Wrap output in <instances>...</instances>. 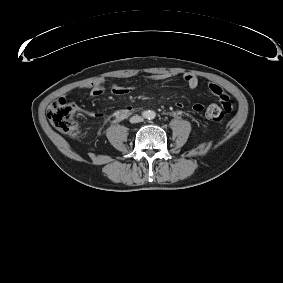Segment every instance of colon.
<instances>
[{
    "instance_id": "obj_1",
    "label": "colon",
    "mask_w": 283,
    "mask_h": 283,
    "mask_svg": "<svg viewBox=\"0 0 283 283\" xmlns=\"http://www.w3.org/2000/svg\"><path fill=\"white\" fill-rule=\"evenodd\" d=\"M232 104L226 100L225 104H212L206 109L207 119L220 121L224 113L231 110ZM75 105L64 97H60L52 102L47 110V118L50 123L60 132L75 137L79 133V127L74 120Z\"/></svg>"
}]
</instances>
